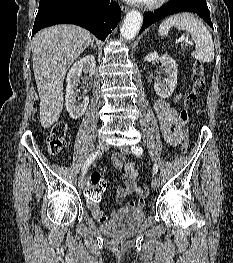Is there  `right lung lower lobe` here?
<instances>
[{"mask_svg":"<svg viewBox=\"0 0 233 263\" xmlns=\"http://www.w3.org/2000/svg\"><path fill=\"white\" fill-rule=\"evenodd\" d=\"M118 3L110 0H76L57 2L38 10L32 35L55 24L70 23L88 29L104 41L121 18Z\"/></svg>","mask_w":233,"mask_h":263,"instance_id":"right-lung-lower-lobe-1","label":"right lung lower lobe"}]
</instances>
